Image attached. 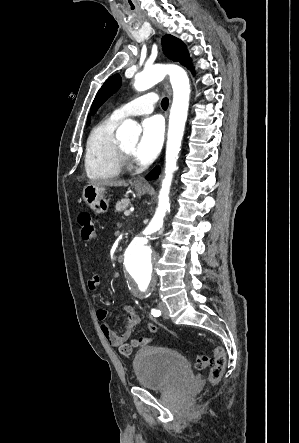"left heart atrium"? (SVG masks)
Masks as SVG:
<instances>
[{
  "label": "left heart atrium",
  "mask_w": 299,
  "mask_h": 443,
  "mask_svg": "<svg viewBox=\"0 0 299 443\" xmlns=\"http://www.w3.org/2000/svg\"><path fill=\"white\" fill-rule=\"evenodd\" d=\"M164 135V124L160 116H151L142 123V135L134 156L141 163L151 162L159 152Z\"/></svg>",
  "instance_id": "left-heart-atrium-1"
}]
</instances>
